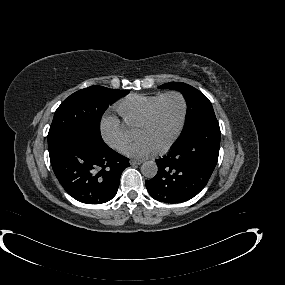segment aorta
<instances>
[{"label": "aorta", "instance_id": "obj_1", "mask_svg": "<svg viewBox=\"0 0 285 285\" xmlns=\"http://www.w3.org/2000/svg\"><path fill=\"white\" fill-rule=\"evenodd\" d=\"M157 172H158V167L156 162L154 161H145L141 166V173L146 178L151 179L155 177Z\"/></svg>", "mask_w": 285, "mask_h": 285}]
</instances>
